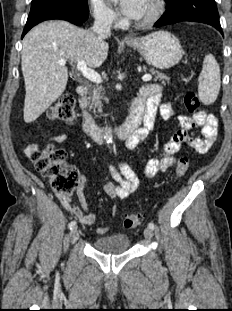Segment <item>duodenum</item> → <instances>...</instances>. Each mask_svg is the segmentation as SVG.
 Returning <instances> with one entry per match:
<instances>
[{
	"label": "duodenum",
	"mask_w": 232,
	"mask_h": 311,
	"mask_svg": "<svg viewBox=\"0 0 232 311\" xmlns=\"http://www.w3.org/2000/svg\"><path fill=\"white\" fill-rule=\"evenodd\" d=\"M76 94L79 99H83L87 94V86L85 84H80L77 87ZM144 107V102L136 97L132 103V112L129 117L114 128H105L97 125L91 115L87 112L85 106L82 105L83 131L87 136L99 143L106 142L109 137H112L115 140H127L142 122L144 118Z\"/></svg>",
	"instance_id": "duodenum-1"
}]
</instances>
